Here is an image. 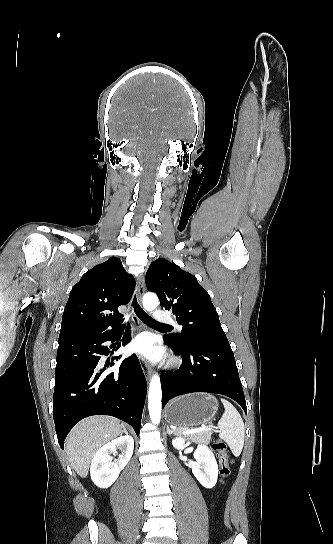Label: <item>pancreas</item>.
Segmentation results:
<instances>
[{
    "mask_svg": "<svg viewBox=\"0 0 333 544\" xmlns=\"http://www.w3.org/2000/svg\"><path fill=\"white\" fill-rule=\"evenodd\" d=\"M177 432H180V431H177ZM211 435H212V431L207 430V431L196 432L193 434H188L187 436H188V439H190L191 441L209 442L211 439Z\"/></svg>",
    "mask_w": 333,
    "mask_h": 544,
    "instance_id": "pancreas-1",
    "label": "pancreas"
}]
</instances>
